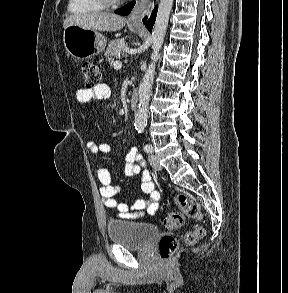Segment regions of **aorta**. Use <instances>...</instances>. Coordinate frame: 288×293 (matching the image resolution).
Masks as SVG:
<instances>
[{"instance_id":"1","label":"aorta","mask_w":288,"mask_h":293,"mask_svg":"<svg viewBox=\"0 0 288 293\" xmlns=\"http://www.w3.org/2000/svg\"><path fill=\"white\" fill-rule=\"evenodd\" d=\"M173 0H160L156 21L152 31V55L151 62L142 78L139 86V103L135 114L134 126L137 130H144L147 125L148 105L155 74V63L159 59V51L162 47Z\"/></svg>"}]
</instances>
